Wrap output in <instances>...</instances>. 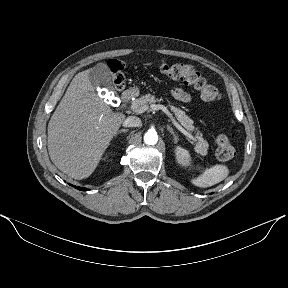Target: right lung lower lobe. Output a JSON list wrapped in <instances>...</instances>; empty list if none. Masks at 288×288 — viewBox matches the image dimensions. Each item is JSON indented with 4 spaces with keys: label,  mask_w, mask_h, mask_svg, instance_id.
I'll use <instances>...</instances> for the list:
<instances>
[{
    "label": "right lung lower lobe",
    "mask_w": 288,
    "mask_h": 288,
    "mask_svg": "<svg viewBox=\"0 0 288 288\" xmlns=\"http://www.w3.org/2000/svg\"><path fill=\"white\" fill-rule=\"evenodd\" d=\"M76 189H78V190H81V191H87V188H83V187H76V186H74Z\"/></svg>",
    "instance_id": "obj_1"
}]
</instances>
